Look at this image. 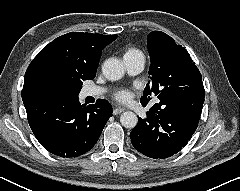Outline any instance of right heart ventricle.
<instances>
[{"instance_id":"right-heart-ventricle-1","label":"right heart ventricle","mask_w":240,"mask_h":191,"mask_svg":"<svg viewBox=\"0 0 240 191\" xmlns=\"http://www.w3.org/2000/svg\"><path fill=\"white\" fill-rule=\"evenodd\" d=\"M128 54H142V52L136 48H130L125 52L124 55H128Z\"/></svg>"}]
</instances>
